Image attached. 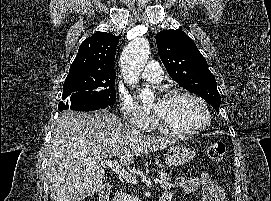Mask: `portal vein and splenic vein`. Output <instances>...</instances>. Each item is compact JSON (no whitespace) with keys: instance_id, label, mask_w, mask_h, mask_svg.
Wrapping results in <instances>:
<instances>
[{"instance_id":"obj_1","label":"portal vein and splenic vein","mask_w":271,"mask_h":201,"mask_svg":"<svg viewBox=\"0 0 271 201\" xmlns=\"http://www.w3.org/2000/svg\"><path fill=\"white\" fill-rule=\"evenodd\" d=\"M100 162L102 164H105L107 166H109L113 171H115L119 176L123 177L125 180L131 182L132 184H136L137 180L136 178L129 172H127L126 170H124L118 163L117 160H109V159H103L100 158ZM155 183H159L160 180L159 179H154Z\"/></svg>"}]
</instances>
